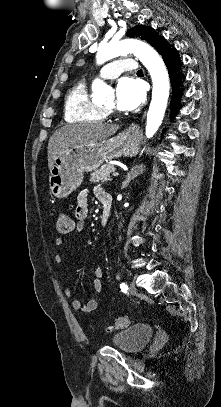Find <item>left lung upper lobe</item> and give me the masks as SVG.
Segmentation results:
<instances>
[{"label":"left lung upper lobe","mask_w":221,"mask_h":407,"mask_svg":"<svg viewBox=\"0 0 221 407\" xmlns=\"http://www.w3.org/2000/svg\"><path fill=\"white\" fill-rule=\"evenodd\" d=\"M126 34L132 38L138 37L146 40L154 48H156L157 41L161 37L154 29L143 25L135 26L133 29L128 30Z\"/></svg>","instance_id":"left-lung-upper-lobe-1"}]
</instances>
